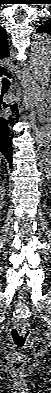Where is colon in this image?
Instances as JSON below:
<instances>
[{
    "label": "colon",
    "instance_id": "obj_1",
    "mask_svg": "<svg viewBox=\"0 0 51 393\" xmlns=\"http://www.w3.org/2000/svg\"><path fill=\"white\" fill-rule=\"evenodd\" d=\"M30 337L29 324L25 320H17L11 328V339L18 349H23ZM30 350L34 356H43L46 353V343L41 338H34L30 342ZM25 363V356L20 352H13L9 358V364L15 368H21Z\"/></svg>",
    "mask_w": 51,
    "mask_h": 393
}]
</instances>
